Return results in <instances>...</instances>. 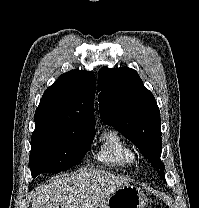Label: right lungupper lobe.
<instances>
[{
  "mask_svg": "<svg viewBox=\"0 0 199 208\" xmlns=\"http://www.w3.org/2000/svg\"><path fill=\"white\" fill-rule=\"evenodd\" d=\"M95 88L92 72L71 70L60 75L42 96L35 112V123L94 127Z\"/></svg>",
  "mask_w": 199,
  "mask_h": 208,
  "instance_id": "1",
  "label": "right lung upper lobe"
}]
</instances>
